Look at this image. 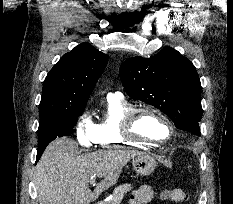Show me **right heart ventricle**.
Returning <instances> with one entry per match:
<instances>
[{
    "label": "right heart ventricle",
    "instance_id": "obj_1",
    "mask_svg": "<svg viewBox=\"0 0 233 204\" xmlns=\"http://www.w3.org/2000/svg\"><path fill=\"white\" fill-rule=\"evenodd\" d=\"M132 108L133 106L122 96L111 95L107 97L103 115L95 124L97 145L102 148L146 146V144L128 140L123 135V119Z\"/></svg>",
    "mask_w": 233,
    "mask_h": 204
}]
</instances>
